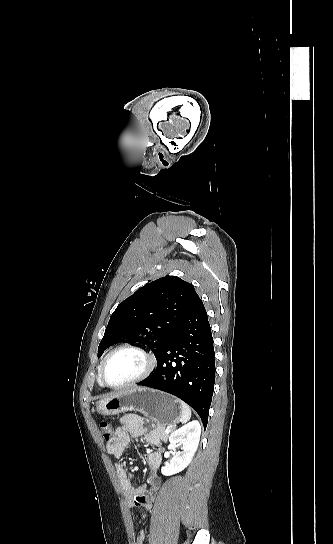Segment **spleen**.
I'll use <instances>...</instances> for the list:
<instances>
[{"label":"spleen","instance_id":"spleen-1","mask_svg":"<svg viewBox=\"0 0 333 544\" xmlns=\"http://www.w3.org/2000/svg\"><path fill=\"white\" fill-rule=\"evenodd\" d=\"M179 403H180V406H181L180 422L184 424V423H187L191 418V409L182 400H179Z\"/></svg>","mask_w":333,"mask_h":544}]
</instances>
